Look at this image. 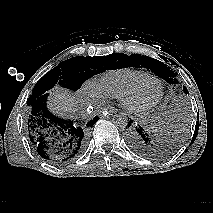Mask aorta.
Instances as JSON below:
<instances>
[{"label": "aorta", "mask_w": 213, "mask_h": 213, "mask_svg": "<svg viewBox=\"0 0 213 213\" xmlns=\"http://www.w3.org/2000/svg\"><path fill=\"white\" fill-rule=\"evenodd\" d=\"M112 121L116 127L121 128V129H124L128 124V118L123 113L114 115Z\"/></svg>", "instance_id": "1"}]
</instances>
